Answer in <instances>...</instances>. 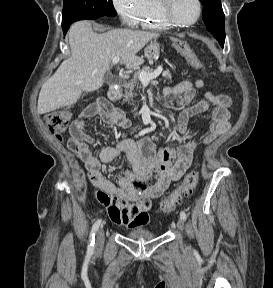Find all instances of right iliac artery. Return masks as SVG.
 <instances>
[{
  "mask_svg": "<svg viewBox=\"0 0 273 288\" xmlns=\"http://www.w3.org/2000/svg\"><path fill=\"white\" fill-rule=\"evenodd\" d=\"M101 224V219L97 220L91 229L90 236H89V244L87 249V254L91 255L94 251V244H95V234Z\"/></svg>",
  "mask_w": 273,
  "mask_h": 288,
  "instance_id": "1",
  "label": "right iliac artery"
}]
</instances>
